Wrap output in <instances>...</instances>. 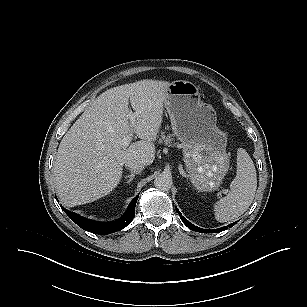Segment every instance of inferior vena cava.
I'll return each instance as SVG.
<instances>
[{"label": "inferior vena cava", "mask_w": 307, "mask_h": 307, "mask_svg": "<svg viewBox=\"0 0 307 307\" xmlns=\"http://www.w3.org/2000/svg\"><path fill=\"white\" fill-rule=\"evenodd\" d=\"M125 166L131 171L140 173L145 165L142 161L131 158L125 161Z\"/></svg>", "instance_id": "602c4592"}]
</instances>
